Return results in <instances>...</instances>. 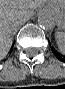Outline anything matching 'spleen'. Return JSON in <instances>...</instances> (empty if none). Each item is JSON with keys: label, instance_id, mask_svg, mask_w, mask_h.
Instances as JSON below:
<instances>
[{"label": "spleen", "instance_id": "obj_1", "mask_svg": "<svg viewBox=\"0 0 65 89\" xmlns=\"http://www.w3.org/2000/svg\"><path fill=\"white\" fill-rule=\"evenodd\" d=\"M55 38L60 52L65 53V33L63 31H58L56 32Z\"/></svg>", "mask_w": 65, "mask_h": 89}]
</instances>
